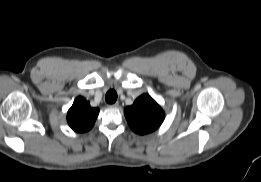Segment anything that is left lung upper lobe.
<instances>
[{"label":"left lung upper lobe","instance_id":"5c2ea615","mask_svg":"<svg viewBox=\"0 0 261 182\" xmlns=\"http://www.w3.org/2000/svg\"><path fill=\"white\" fill-rule=\"evenodd\" d=\"M130 128L140 135L156 130L164 120L162 108L148 94L135 100L132 106L124 109Z\"/></svg>","mask_w":261,"mask_h":182}]
</instances>
